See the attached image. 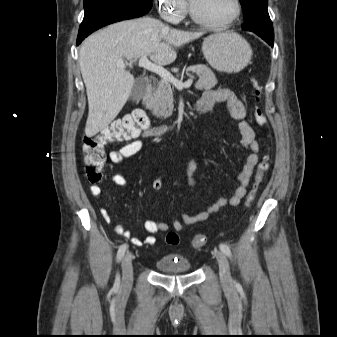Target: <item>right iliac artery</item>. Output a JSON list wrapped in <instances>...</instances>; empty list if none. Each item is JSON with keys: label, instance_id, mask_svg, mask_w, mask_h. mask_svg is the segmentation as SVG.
Masks as SVG:
<instances>
[{"label": "right iliac artery", "instance_id": "1", "mask_svg": "<svg viewBox=\"0 0 337 337\" xmlns=\"http://www.w3.org/2000/svg\"><path fill=\"white\" fill-rule=\"evenodd\" d=\"M127 247H128V246H127L126 244H123V245H121V246L119 247V250H118V252H117V261H118V262L123 258V256H124V254H125V251H126ZM119 283H120V278H119V275H117V276H116V280H115V286L118 287V286H119Z\"/></svg>", "mask_w": 337, "mask_h": 337}]
</instances>
